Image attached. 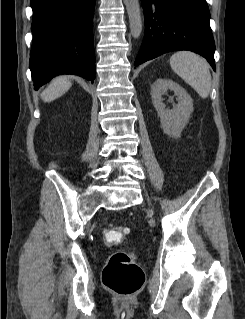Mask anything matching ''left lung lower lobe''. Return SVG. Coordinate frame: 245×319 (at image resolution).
<instances>
[{
  "mask_svg": "<svg viewBox=\"0 0 245 319\" xmlns=\"http://www.w3.org/2000/svg\"><path fill=\"white\" fill-rule=\"evenodd\" d=\"M145 35L135 66L161 54L190 50L215 70V43L206 0H141Z\"/></svg>",
  "mask_w": 245,
  "mask_h": 319,
  "instance_id": "obj_1",
  "label": "left lung lower lobe"
}]
</instances>
